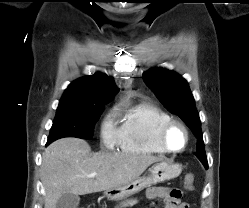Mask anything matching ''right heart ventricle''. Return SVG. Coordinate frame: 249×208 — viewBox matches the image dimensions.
I'll use <instances>...</instances> for the list:
<instances>
[{"instance_id": "right-heart-ventricle-1", "label": "right heart ventricle", "mask_w": 249, "mask_h": 208, "mask_svg": "<svg viewBox=\"0 0 249 208\" xmlns=\"http://www.w3.org/2000/svg\"><path fill=\"white\" fill-rule=\"evenodd\" d=\"M170 120L168 112L147 102L129 108L120 127L121 150L137 155L166 153L157 142V133Z\"/></svg>"}]
</instances>
